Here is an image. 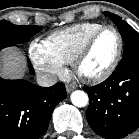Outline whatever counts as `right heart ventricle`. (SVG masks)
<instances>
[{
  "label": "right heart ventricle",
  "instance_id": "obj_1",
  "mask_svg": "<svg viewBox=\"0 0 139 139\" xmlns=\"http://www.w3.org/2000/svg\"><path fill=\"white\" fill-rule=\"evenodd\" d=\"M102 26L95 22L75 24L51 33L43 42L59 61L70 64L88 37Z\"/></svg>",
  "mask_w": 139,
  "mask_h": 139
}]
</instances>
